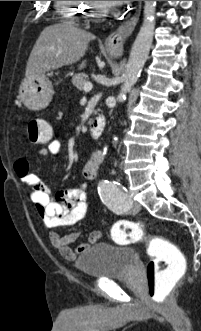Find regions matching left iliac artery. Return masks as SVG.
<instances>
[{
  "label": "left iliac artery",
  "mask_w": 201,
  "mask_h": 331,
  "mask_svg": "<svg viewBox=\"0 0 201 331\" xmlns=\"http://www.w3.org/2000/svg\"><path fill=\"white\" fill-rule=\"evenodd\" d=\"M98 192L103 203L116 214L127 212L132 205L130 197L118 182L102 180Z\"/></svg>",
  "instance_id": "1"
}]
</instances>
